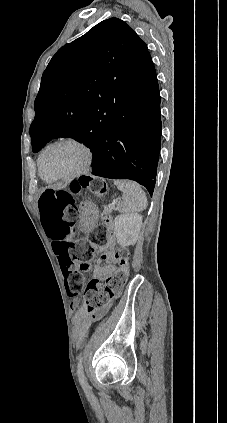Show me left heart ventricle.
<instances>
[{"mask_svg": "<svg viewBox=\"0 0 227 423\" xmlns=\"http://www.w3.org/2000/svg\"><path fill=\"white\" fill-rule=\"evenodd\" d=\"M85 161L84 151L73 144H60L49 149L43 157L47 174L52 176L69 174L76 171Z\"/></svg>", "mask_w": 227, "mask_h": 423, "instance_id": "1", "label": "left heart ventricle"}]
</instances>
